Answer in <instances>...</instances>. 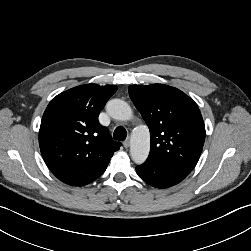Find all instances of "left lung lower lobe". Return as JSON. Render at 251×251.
Segmentation results:
<instances>
[{"label": "left lung lower lobe", "instance_id": "0a47b994", "mask_svg": "<svg viewBox=\"0 0 251 251\" xmlns=\"http://www.w3.org/2000/svg\"><path fill=\"white\" fill-rule=\"evenodd\" d=\"M138 176L156 188H168L178 184L191 172L190 170L145 162L136 167Z\"/></svg>", "mask_w": 251, "mask_h": 251}]
</instances>
